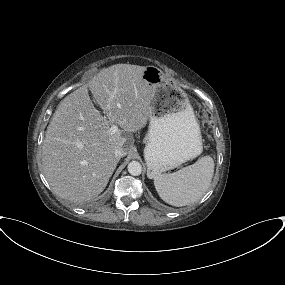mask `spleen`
<instances>
[{
  "instance_id": "spleen-1",
  "label": "spleen",
  "mask_w": 285,
  "mask_h": 285,
  "mask_svg": "<svg viewBox=\"0 0 285 285\" xmlns=\"http://www.w3.org/2000/svg\"><path fill=\"white\" fill-rule=\"evenodd\" d=\"M214 166L213 158L204 156L174 173L155 176V189L161 199L172 206L189 205L200 200L208 190Z\"/></svg>"
}]
</instances>
